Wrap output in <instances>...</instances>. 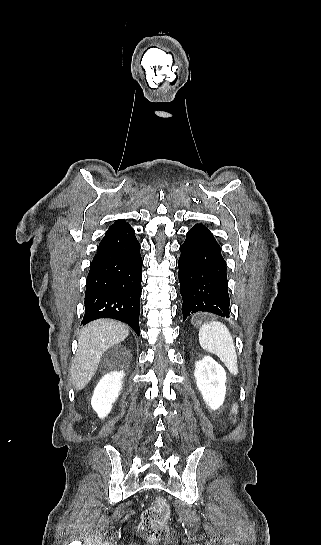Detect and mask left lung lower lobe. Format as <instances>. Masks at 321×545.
I'll return each mask as SVG.
<instances>
[{"mask_svg":"<svg viewBox=\"0 0 321 545\" xmlns=\"http://www.w3.org/2000/svg\"><path fill=\"white\" fill-rule=\"evenodd\" d=\"M179 282L183 321L196 312L229 317L226 262L213 234L196 224L180 246Z\"/></svg>","mask_w":321,"mask_h":545,"instance_id":"left-lung-lower-lobe-1","label":"left lung lower lobe"}]
</instances>
